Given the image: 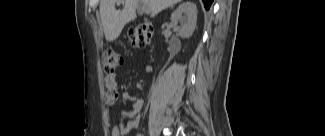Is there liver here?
<instances>
[{
  "label": "liver",
  "instance_id": "1",
  "mask_svg": "<svg viewBox=\"0 0 325 136\" xmlns=\"http://www.w3.org/2000/svg\"><path fill=\"white\" fill-rule=\"evenodd\" d=\"M181 0H101L100 17L107 41H114L120 35L126 23L136 18V8L138 2L146 5L151 17H155L159 12L172 6ZM122 2V11L115 9V3Z\"/></svg>",
  "mask_w": 325,
  "mask_h": 136
}]
</instances>
